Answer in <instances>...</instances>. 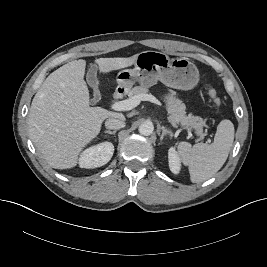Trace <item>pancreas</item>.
I'll return each instance as SVG.
<instances>
[{"label": "pancreas", "mask_w": 267, "mask_h": 267, "mask_svg": "<svg viewBox=\"0 0 267 267\" xmlns=\"http://www.w3.org/2000/svg\"><path fill=\"white\" fill-rule=\"evenodd\" d=\"M149 92L147 87L144 86H136L129 91L128 97L132 98L134 96L140 94H147ZM167 111L169 114V119L171 122L182 125V126H190L195 129L197 134L200 135V138L203 137V127L206 126L205 121L198 116H193L192 114L186 115L185 105L182 103L180 99L175 96L173 91H169L163 97Z\"/></svg>", "instance_id": "pancreas-1"}]
</instances>
